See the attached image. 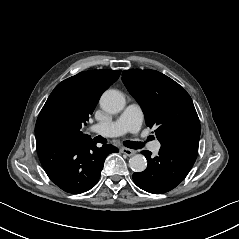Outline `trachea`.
Returning a JSON list of instances; mask_svg holds the SVG:
<instances>
[{"mask_svg":"<svg viewBox=\"0 0 239 239\" xmlns=\"http://www.w3.org/2000/svg\"><path fill=\"white\" fill-rule=\"evenodd\" d=\"M94 141L97 142V143H103V144L107 143V139L100 136V135L95 137ZM123 145L128 147V148H132V149H140L141 147H143L142 143L135 142V141H124Z\"/></svg>","mask_w":239,"mask_h":239,"instance_id":"obj_1","label":"trachea"}]
</instances>
